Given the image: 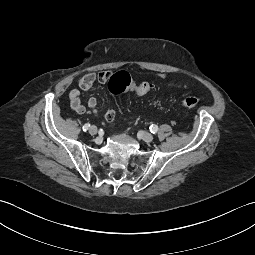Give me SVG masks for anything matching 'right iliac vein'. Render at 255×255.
Masks as SVG:
<instances>
[{
  "label": "right iliac vein",
  "instance_id": "63e3f726",
  "mask_svg": "<svg viewBox=\"0 0 255 255\" xmlns=\"http://www.w3.org/2000/svg\"><path fill=\"white\" fill-rule=\"evenodd\" d=\"M97 127L96 126H91L90 128H89V133L91 134V135H95V134H97Z\"/></svg>",
  "mask_w": 255,
  "mask_h": 255
}]
</instances>
